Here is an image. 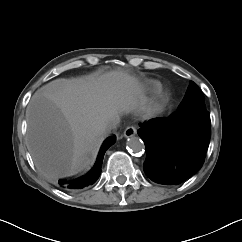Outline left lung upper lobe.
I'll list each match as a JSON object with an SVG mask.
<instances>
[{"instance_id":"5c2ea615","label":"left lung upper lobe","mask_w":242,"mask_h":242,"mask_svg":"<svg viewBox=\"0 0 242 242\" xmlns=\"http://www.w3.org/2000/svg\"><path fill=\"white\" fill-rule=\"evenodd\" d=\"M193 109H206V106L201 90L191 81L177 112H186Z\"/></svg>"}]
</instances>
